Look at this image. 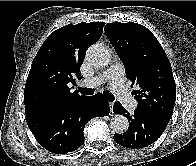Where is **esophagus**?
I'll return each instance as SVG.
<instances>
[{
	"label": "esophagus",
	"instance_id": "esophagus-1",
	"mask_svg": "<svg viewBox=\"0 0 196 166\" xmlns=\"http://www.w3.org/2000/svg\"><path fill=\"white\" fill-rule=\"evenodd\" d=\"M109 106H110V114L113 115L114 114V112H113V102H110Z\"/></svg>",
	"mask_w": 196,
	"mask_h": 166
}]
</instances>
